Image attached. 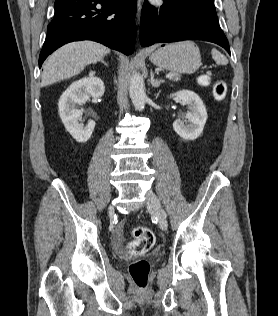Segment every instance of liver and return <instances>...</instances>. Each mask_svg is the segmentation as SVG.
<instances>
[{
	"mask_svg": "<svg viewBox=\"0 0 278 316\" xmlns=\"http://www.w3.org/2000/svg\"><path fill=\"white\" fill-rule=\"evenodd\" d=\"M110 49L93 41L69 43L55 51L44 63L41 86L78 75L87 65L101 61Z\"/></svg>",
	"mask_w": 278,
	"mask_h": 316,
	"instance_id": "6515ba94",
	"label": "liver"
}]
</instances>
